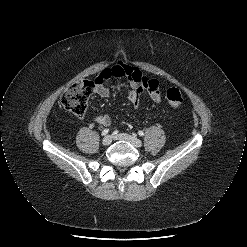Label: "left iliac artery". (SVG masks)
Listing matches in <instances>:
<instances>
[{"label":"left iliac artery","instance_id":"44dca946","mask_svg":"<svg viewBox=\"0 0 247 247\" xmlns=\"http://www.w3.org/2000/svg\"><path fill=\"white\" fill-rule=\"evenodd\" d=\"M138 134H139L140 136H144L143 131H138Z\"/></svg>","mask_w":247,"mask_h":247}]
</instances>
